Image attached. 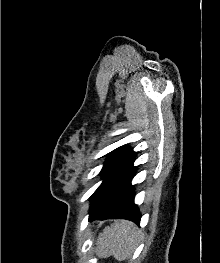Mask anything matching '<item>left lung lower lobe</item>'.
<instances>
[{
  "label": "left lung lower lobe",
  "mask_w": 220,
  "mask_h": 263,
  "mask_svg": "<svg viewBox=\"0 0 220 263\" xmlns=\"http://www.w3.org/2000/svg\"><path fill=\"white\" fill-rule=\"evenodd\" d=\"M136 172L134 167L109 192L90 208L89 221L105 219H127L137 224L141 215L134 204V190L131 179Z\"/></svg>",
  "instance_id": "1"
}]
</instances>
